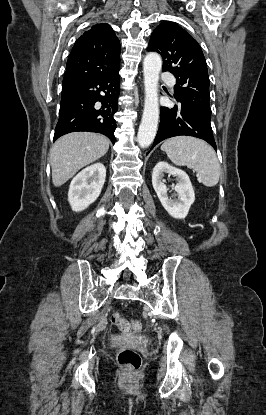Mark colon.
Instances as JSON below:
<instances>
[{"label": "colon", "mask_w": 266, "mask_h": 415, "mask_svg": "<svg viewBox=\"0 0 266 415\" xmlns=\"http://www.w3.org/2000/svg\"><path fill=\"white\" fill-rule=\"evenodd\" d=\"M111 322L122 332L127 334L136 333L141 329V323L138 320H128L119 313L111 315ZM119 365L129 373L137 372L141 367L140 354L131 348H121L117 353Z\"/></svg>", "instance_id": "colon-1"}]
</instances>
